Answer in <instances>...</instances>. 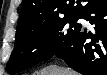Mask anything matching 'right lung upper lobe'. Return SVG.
<instances>
[{
	"label": "right lung upper lobe",
	"instance_id": "right-lung-upper-lobe-1",
	"mask_svg": "<svg viewBox=\"0 0 107 75\" xmlns=\"http://www.w3.org/2000/svg\"><path fill=\"white\" fill-rule=\"evenodd\" d=\"M24 0L17 28L31 30L72 14H81V0ZM86 2V1H83Z\"/></svg>",
	"mask_w": 107,
	"mask_h": 75
}]
</instances>
